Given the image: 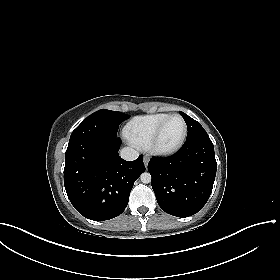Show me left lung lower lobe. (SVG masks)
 I'll return each mask as SVG.
<instances>
[{
    "label": "left lung lower lobe",
    "mask_w": 280,
    "mask_h": 280,
    "mask_svg": "<svg viewBox=\"0 0 280 280\" xmlns=\"http://www.w3.org/2000/svg\"><path fill=\"white\" fill-rule=\"evenodd\" d=\"M216 170L209 136L188 139L172 156L152 158L148 164L158 204L177 217L194 215L206 204Z\"/></svg>",
    "instance_id": "0a47b994"
}]
</instances>
